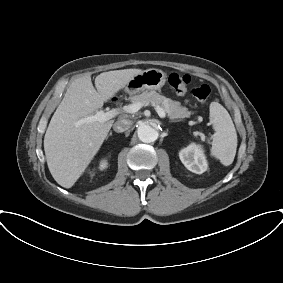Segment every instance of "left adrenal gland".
<instances>
[{
    "instance_id": "1",
    "label": "left adrenal gland",
    "mask_w": 283,
    "mask_h": 283,
    "mask_svg": "<svg viewBox=\"0 0 283 283\" xmlns=\"http://www.w3.org/2000/svg\"><path fill=\"white\" fill-rule=\"evenodd\" d=\"M170 123H173V122H177V120H171V121H169Z\"/></svg>"
}]
</instances>
